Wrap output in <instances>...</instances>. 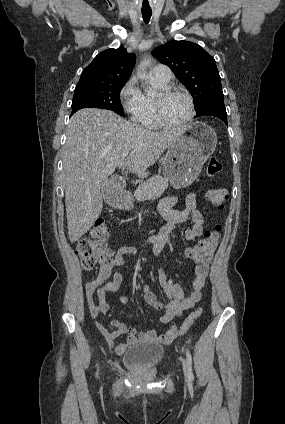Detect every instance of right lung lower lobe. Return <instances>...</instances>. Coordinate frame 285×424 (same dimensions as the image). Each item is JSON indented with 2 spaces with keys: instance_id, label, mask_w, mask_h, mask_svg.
<instances>
[{
  "instance_id": "1",
  "label": "right lung lower lobe",
  "mask_w": 285,
  "mask_h": 424,
  "mask_svg": "<svg viewBox=\"0 0 285 424\" xmlns=\"http://www.w3.org/2000/svg\"><path fill=\"white\" fill-rule=\"evenodd\" d=\"M76 111H78V110H72V113H71V115H73Z\"/></svg>"
}]
</instances>
